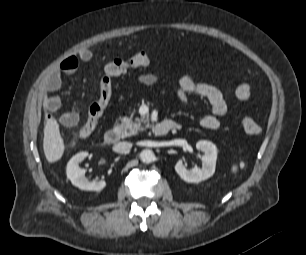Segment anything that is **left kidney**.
Segmentation results:
<instances>
[{"instance_id": "left-kidney-1", "label": "left kidney", "mask_w": 306, "mask_h": 255, "mask_svg": "<svg viewBox=\"0 0 306 255\" xmlns=\"http://www.w3.org/2000/svg\"><path fill=\"white\" fill-rule=\"evenodd\" d=\"M196 148L202 151V167H194L191 170L187 169L182 160L175 164L177 174L188 183H199L213 176L217 160V147L210 141L201 140L196 143Z\"/></svg>"}]
</instances>
